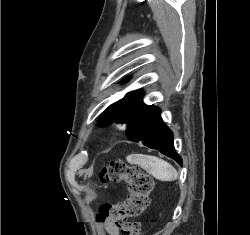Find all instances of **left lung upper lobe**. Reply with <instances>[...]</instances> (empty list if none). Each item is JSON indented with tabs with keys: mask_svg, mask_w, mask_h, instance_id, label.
Listing matches in <instances>:
<instances>
[{
	"mask_svg": "<svg viewBox=\"0 0 250 235\" xmlns=\"http://www.w3.org/2000/svg\"><path fill=\"white\" fill-rule=\"evenodd\" d=\"M142 89L129 92L125 97L116 103L110 105L103 113L98 122L100 126H108L113 122H121L127 124L129 110L134 102L141 95Z\"/></svg>",
	"mask_w": 250,
	"mask_h": 235,
	"instance_id": "1",
	"label": "left lung upper lobe"
}]
</instances>
